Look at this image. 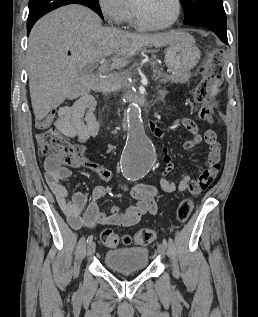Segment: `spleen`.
Returning <instances> with one entry per match:
<instances>
[{
    "label": "spleen",
    "mask_w": 258,
    "mask_h": 317,
    "mask_svg": "<svg viewBox=\"0 0 258 317\" xmlns=\"http://www.w3.org/2000/svg\"><path fill=\"white\" fill-rule=\"evenodd\" d=\"M217 92H218V84H217V82H215V84H212V90H211L212 96H215V94H217Z\"/></svg>",
    "instance_id": "spleen-1"
}]
</instances>
